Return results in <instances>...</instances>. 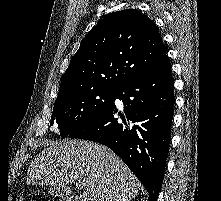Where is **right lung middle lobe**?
Instances as JSON below:
<instances>
[{"label":"right lung middle lobe","mask_w":221,"mask_h":201,"mask_svg":"<svg viewBox=\"0 0 221 201\" xmlns=\"http://www.w3.org/2000/svg\"><path fill=\"white\" fill-rule=\"evenodd\" d=\"M115 90L93 88L56 99L51 126L66 137L103 112L113 101Z\"/></svg>","instance_id":"obj_1"}]
</instances>
